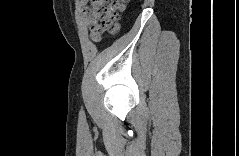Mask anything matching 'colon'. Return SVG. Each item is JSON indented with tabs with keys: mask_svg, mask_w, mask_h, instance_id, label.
Wrapping results in <instances>:
<instances>
[{
	"mask_svg": "<svg viewBox=\"0 0 239 156\" xmlns=\"http://www.w3.org/2000/svg\"><path fill=\"white\" fill-rule=\"evenodd\" d=\"M119 0H92L91 6L84 9L90 19L91 35L100 40L105 32L116 33L119 30V14L124 10Z\"/></svg>",
	"mask_w": 239,
	"mask_h": 156,
	"instance_id": "5ec220e1",
	"label": "colon"
}]
</instances>
